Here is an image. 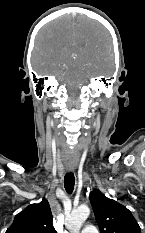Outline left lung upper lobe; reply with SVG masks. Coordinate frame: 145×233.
<instances>
[{
    "instance_id": "left-lung-upper-lobe-1",
    "label": "left lung upper lobe",
    "mask_w": 145,
    "mask_h": 233,
    "mask_svg": "<svg viewBox=\"0 0 145 233\" xmlns=\"http://www.w3.org/2000/svg\"><path fill=\"white\" fill-rule=\"evenodd\" d=\"M89 199L101 233H141L132 213L123 205L99 190L92 191Z\"/></svg>"
}]
</instances>
